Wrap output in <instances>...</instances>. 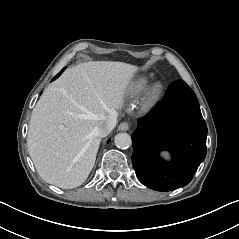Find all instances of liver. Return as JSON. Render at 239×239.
<instances>
[{"label":"liver","mask_w":239,"mask_h":239,"mask_svg":"<svg viewBox=\"0 0 239 239\" xmlns=\"http://www.w3.org/2000/svg\"><path fill=\"white\" fill-rule=\"evenodd\" d=\"M134 71L123 63L81 64L45 89L27 137L29 155L45 182L73 189L86 181L101 142L96 131L116 113Z\"/></svg>","instance_id":"6515ba94"}]
</instances>
